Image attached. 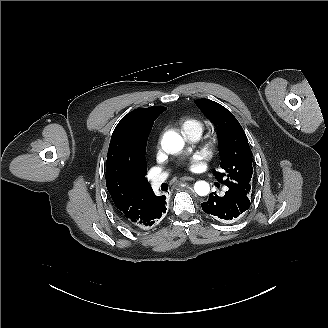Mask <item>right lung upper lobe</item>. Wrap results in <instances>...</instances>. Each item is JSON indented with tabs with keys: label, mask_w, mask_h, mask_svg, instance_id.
<instances>
[{
	"label": "right lung upper lobe",
	"mask_w": 328,
	"mask_h": 328,
	"mask_svg": "<svg viewBox=\"0 0 328 328\" xmlns=\"http://www.w3.org/2000/svg\"><path fill=\"white\" fill-rule=\"evenodd\" d=\"M166 107L155 106L133 110L124 116L113 131L107 161L106 185L117 212L125 223H137L154 197L145 175L147 168L134 156L131 133L145 117H158Z\"/></svg>",
	"instance_id": "1"
}]
</instances>
